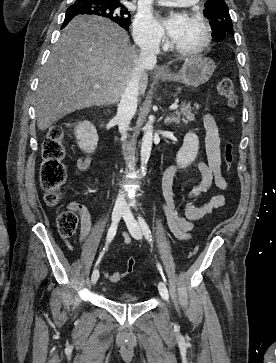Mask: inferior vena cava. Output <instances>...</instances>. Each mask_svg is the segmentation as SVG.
<instances>
[{
    "label": "inferior vena cava",
    "mask_w": 276,
    "mask_h": 363,
    "mask_svg": "<svg viewBox=\"0 0 276 363\" xmlns=\"http://www.w3.org/2000/svg\"><path fill=\"white\" fill-rule=\"evenodd\" d=\"M159 53L160 48L158 42H146L140 45V54L134 68V73L122 94L115 117L123 140L126 138L130 121L137 110L140 74L145 69L155 66L157 54ZM124 205L125 197L123 192L120 191L115 206L122 207Z\"/></svg>",
    "instance_id": "inferior-vena-cava-1"
}]
</instances>
